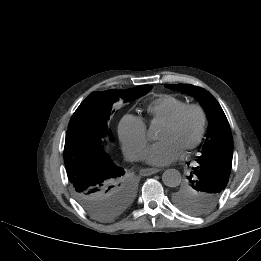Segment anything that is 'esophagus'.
I'll list each match as a JSON object with an SVG mask.
<instances>
[{
  "mask_svg": "<svg viewBox=\"0 0 261 261\" xmlns=\"http://www.w3.org/2000/svg\"><path fill=\"white\" fill-rule=\"evenodd\" d=\"M159 171H160V169H157V168H144V169L140 170V174L142 176H149V175H152V174H156Z\"/></svg>",
  "mask_w": 261,
  "mask_h": 261,
  "instance_id": "esophagus-1",
  "label": "esophagus"
}]
</instances>
